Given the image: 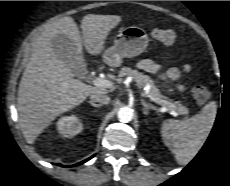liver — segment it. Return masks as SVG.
<instances>
[{"instance_id":"1","label":"liver","mask_w":230,"mask_h":186,"mask_svg":"<svg viewBox=\"0 0 230 186\" xmlns=\"http://www.w3.org/2000/svg\"><path fill=\"white\" fill-rule=\"evenodd\" d=\"M121 20L118 15L88 14L81 21V35L74 19L63 17L50 24L37 38L17 98L19 125L27 143L34 144L57 116L80 105L91 94L108 93L106 88L75 79L71 68L55 53L53 39L64 35L79 54L82 55L84 46L91 55H98L104 49L109 32Z\"/></svg>"}]
</instances>
